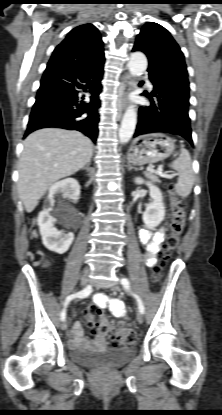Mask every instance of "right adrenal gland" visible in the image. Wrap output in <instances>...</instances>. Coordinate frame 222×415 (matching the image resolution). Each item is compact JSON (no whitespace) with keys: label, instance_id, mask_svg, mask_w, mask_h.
Returning a JSON list of instances; mask_svg holds the SVG:
<instances>
[{"label":"right adrenal gland","instance_id":"right-adrenal-gland-1","mask_svg":"<svg viewBox=\"0 0 222 415\" xmlns=\"http://www.w3.org/2000/svg\"><path fill=\"white\" fill-rule=\"evenodd\" d=\"M83 170H87V172H91L90 163H87L85 167L82 168Z\"/></svg>","mask_w":222,"mask_h":415}]
</instances>
